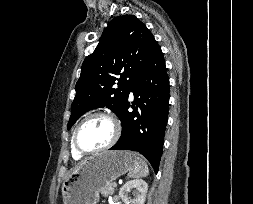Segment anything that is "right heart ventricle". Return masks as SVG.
Segmentation results:
<instances>
[{
	"label": "right heart ventricle",
	"mask_w": 253,
	"mask_h": 204,
	"mask_svg": "<svg viewBox=\"0 0 253 204\" xmlns=\"http://www.w3.org/2000/svg\"><path fill=\"white\" fill-rule=\"evenodd\" d=\"M71 152H72V157H73L75 160H79V159L82 157L81 155H79V154L75 151V149H74L72 143H71Z\"/></svg>",
	"instance_id": "obj_1"
}]
</instances>
